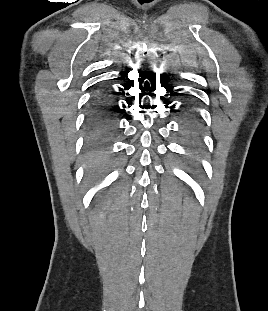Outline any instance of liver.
I'll return each instance as SVG.
<instances>
[{
	"mask_svg": "<svg viewBox=\"0 0 268 311\" xmlns=\"http://www.w3.org/2000/svg\"><path fill=\"white\" fill-rule=\"evenodd\" d=\"M107 160L101 154L90 156L86 163V174L94 175L106 164Z\"/></svg>",
	"mask_w": 268,
	"mask_h": 311,
	"instance_id": "obj_1",
	"label": "liver"
}]
</instances>
